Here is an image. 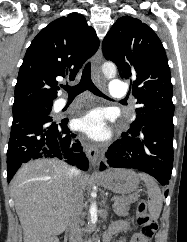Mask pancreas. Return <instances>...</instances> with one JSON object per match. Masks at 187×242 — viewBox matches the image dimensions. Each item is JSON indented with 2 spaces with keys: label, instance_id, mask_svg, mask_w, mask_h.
<instances>
[{
  "label": "pancreas",
  "instance_id": "1",
  "mask_svg": "<svg viewBox=\"0 0 187 242\" xmlns=\"http://www.w3.org/2000/svg\"><path fill=\"white\" fill-rule=\"evenodd\" d=\"M139 199L138 195H131L129 197L125 196H117L114 198V212L118 216L125 215V213L129 210L130 204L136 202Z\"/></svg>",
  "mask_w": 187,
  "mask_h": 242
}]
</instances>
